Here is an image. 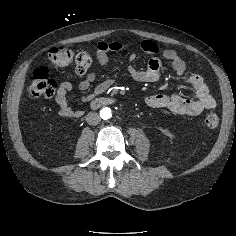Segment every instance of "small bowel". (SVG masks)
Segmentation results:
<instances>
[{"instance_id": "obj_1", "label": "small bowel", "mask_w": 236, "mask_h": 236, "mask_svg": "<svg viewBox=\"0 0 236 236\" xmlns=\"http://www.w3.org/2000/svg\"><path fill=\"white\" fill-rule=\"evenodd\" d=\"M140 46L145 53L152 55L145 69L135 68L133 63L136 59V54L130 50V46L127 43L120 41L99 42L96 48L97 69H102L107 66L109 62V53L123 52L128 54V72L135 81L142 83L157 81L162 69V61L157 56L160 53V49L152 40H143ZM162 56L171 63L172 69L177 75L182 76L185 74L186 64L174 50H163ZM95 80V72L84 73V78L79 83V89L83 92L88 91ZM185 83L193 89L195 95L194 99L184 98L177 93L154 94L145 99L146 104L152 108H166L175 114L190 116L199 115L205 110L215 108L216 100L210 94L207 85L200 75H188L185 78ZM113 84L114 80L111 78L102 81L95 87L94 94L104 93ZM71 89L72 84L70 82H62L55 95V103L58 106L60 116L65 118H78L82 116L83 111L73 109L67 101V94ZM82 100L88 101L89 96H83Z\"/></svg>"}]
</instances>
